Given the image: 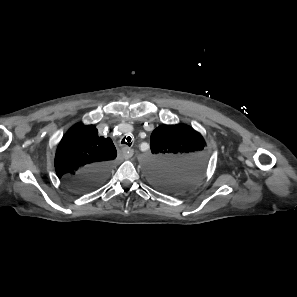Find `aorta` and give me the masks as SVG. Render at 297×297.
<instances>
[{
	"label": "aorta",
	"instance_id": "762f6f07",
	"mask_svg": "<svg viewBox=\"0 0 297 297\" xmlns=\"http://www.w3.org/2000/svg\"><path fill=\"white\" fill-rule=\"evenodd\" d=\"M153 164H154V159L151 158V159H150V167H149V169H148V174H149V176H150L151 173L153 172Z\"/></svg>",
	"mask_w": 297,
	"mask_h": 297
}]
</instances>
